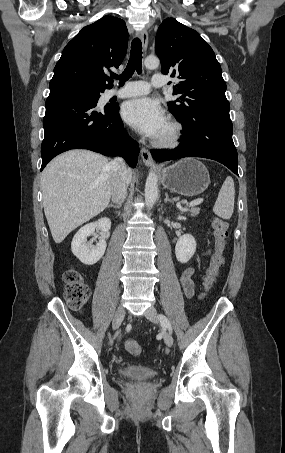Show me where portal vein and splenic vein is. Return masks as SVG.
<instances>
[{"mask_svg":"<svg viewBox=\"0 0 285 453\" xmlns=\"http://www.w3.org/2000/svg\"><path fill=\"white\" fill-rule=\"evenodd\" d=\"M202 202H203V198H199V199H196V200L190 202L189 206L190 207L197 206V205L201 204Z\"/></svg>","mask_w":285,"mask_h":453,"instance_id":"1","label":"portal vein and splenic vein"}]
</instances>
